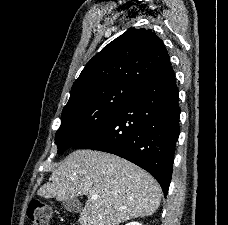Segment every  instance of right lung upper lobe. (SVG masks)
I'll use <instances>...</instances> for the list:
<instances>
[{"label": "right lung upper lobe", "mask_w": 228, "mask_h": 225, "mask_svg": "<svg viewBox=\"0 0 228 225\" xmlns=\"http://www.w3.org/2000/svg\"><path fill=\"white\" fill-rule=\"evenodd\" d=\"M170 63L164 43L148 29L130 28L96 54L74 82L69 102L111 83L139 88Z\"/></svg>", "instance_id": "right-lung-upper-lobe-1"}]
</instances>
